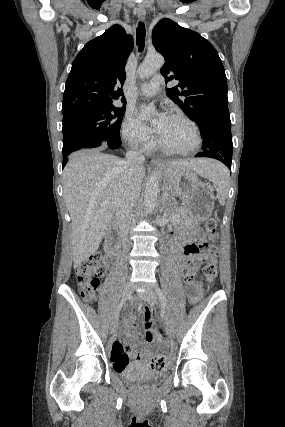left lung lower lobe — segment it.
<instances>
[{"mask_svg":"<svg viewBox=\"0 0 285 427\" xmlns=\"http://www.w3.org/2000/svg\"><path fill=\"white\" fill-rule=\"evenodd\" d=\"M203 138V151L196 157L215 158L231 169L233 143L231 121L209 118L198 124Z\"/></svg>","mask_w":285,"mask_h":427,"instance_id":"left-lung-lower-lobe-1","label":"left lung lower lobe"}]
</instances>
